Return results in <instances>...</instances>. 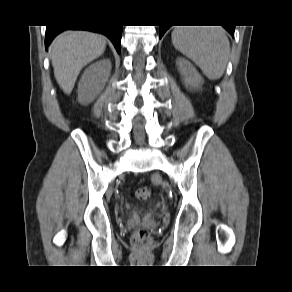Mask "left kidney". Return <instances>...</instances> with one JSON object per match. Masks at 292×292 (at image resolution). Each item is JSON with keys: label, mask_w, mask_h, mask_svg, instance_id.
Wrapping results in <instances>:
<instances>
[{"label": "left kidney", "mask_w": 292, "mask_h": 292, "mask_svg": "<svg viewBox=\"0 0 292 292\" xmlns=\"http://www.w3.org/2000/svg\"><path fill=\"white\" fill-rule=\"evenodd\" d=\"M177 66L186 87H189L190 89H199L201 87L203 79L189 61L183 58H178Z\"/></svg>", "instance_id": "1"}]
</instances>
